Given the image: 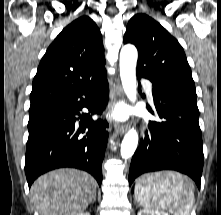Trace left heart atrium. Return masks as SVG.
Listing matches in <instances>:
<instances>
[{
	"mask_svg": "<svg viewBox=\"0 0 221 215\" xmlns=\"http://www.w3.org/2000/svg\"><path fill=\"white\" fill-rule=\"evenodd\" d=\"M116 116H118L119 118H122L124 116V111L122 109H117Z\"/></svg>",
	"mask_w": 221,
	"mask_h": 215,
	"instance_id": "obj_1",
	"label": "left heart atrium"
}]
</instances>
